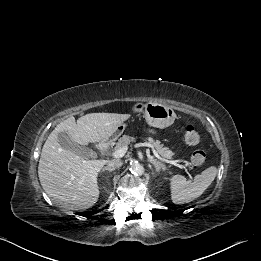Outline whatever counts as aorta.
I'll use <instances>...</instances> for the list:
<instances>
[{
    "label": "aorta",
    "instance_id": "762f6f07",
    "mask_svg": "<svg viewBox=\"0 0 261 261\" xmlns=\"http://www.w3.org/2000/svg\"><path fill=\"white\" fill-rule=\"evenodd\" d=\"M130 171L133 174L140 175V174H142L144 172V168H143V166L139 162L134 161V162L130 163Z\"/></svg>",
    "mask_w": 261,
    "mask_h": 261
}]
</instances>
